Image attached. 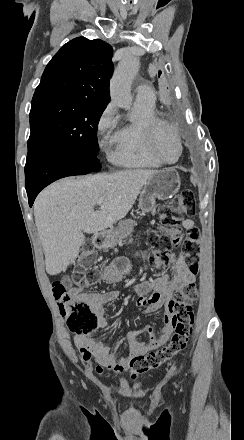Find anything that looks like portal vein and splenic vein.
Instances as JSON below:
<instances>
[{"label":"portal vein and splenic vein","mask_w":244,"mask_h":440,"mask_svg":"<svg viewBox=\"0 0 244 440\" xmlns=\"http://www.w3.org/2000/svg\"><path fill=\"white\" fill-rule=\"evenodd\" d=\"M104 202V198H100V200H98V202H96L97 206H102Z\"/></svg>","instance_id":"1"}]
</instances>
